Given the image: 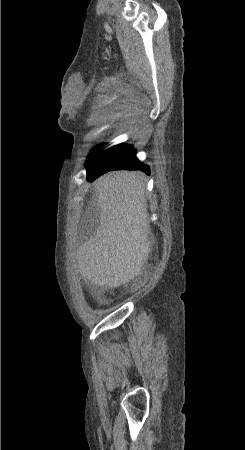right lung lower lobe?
I'll return each mask as SVG.
<instances>
[{"mask_svg":"<svg viewBox=\"0 0 245 450\" xmlns=\"http://www.w3.org/2000/svg\"><path fill=\"white\" fill-rule=\"evenodd\" d=\"M136 151L133 149H121L110 152L103 160L94 168L87 171V180L94 181L102 174L117 169L142 170L149 174V167L142 164L135 156Z\"/></svg>","mask_w":245,"mask_h":450,"instance_id":"obj_1","label":"right lung lower lobe"}]
</instances>
